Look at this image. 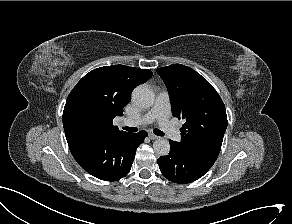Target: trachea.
I'll return each mask as SVG.
<instances>
[{
	"mask_svg": "<svg viewBox=\"0 0 292 224\" xmlns=\"http://www.w3.org/2000/svg\"><path fill=\"white\" fill-rule=\"evenodd\" d=\"M124 130L128 132H137L138 129L136 127H123ZM153 133L158 136H164V133L159 129H154Z\"/></svg>",
	"mask_w": 292,
	"mask_h": 224,
	"instance_id": "trachea-1",
	"label": "trachea"
}]
</instances>
